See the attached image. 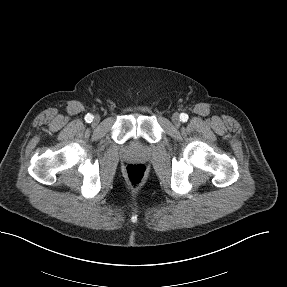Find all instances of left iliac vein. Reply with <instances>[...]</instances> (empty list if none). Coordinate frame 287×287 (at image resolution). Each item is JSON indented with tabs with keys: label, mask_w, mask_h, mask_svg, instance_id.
<instances>
[{
	"label": "left iliac vein",
	"mask_w": 287,
	"mask_h": 287,
	"mask_svg": "<svg viewBox=\"0 0 287 287\" xmlns=\"http://www.w3.org/2000/svg\"><path fill=\"white\" fill-rule=\"evenodd\" d=\"M172 122L176 127H179L181 124L180 116L177 113H174L172 115Z\"/></svg>",
	"instance_id": "obj_1"
}]
</instances>
